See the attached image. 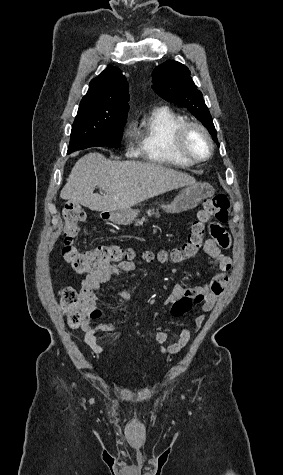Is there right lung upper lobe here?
Listing matches in <instances>:
<instances>
[{
	"instance_id": "obj_1",
	"label": "right lung upper lobe",
	"mask_w": 283,
	"mask_h": 475,
	"mask_svg": "<svg viewBox=\"0 0 283 475\" xmlns=\"http://www.w3.org/2000/svg\"><path fill=\"white\" fill-rule=\"evenodd\" d=\"M128 83L116 67L109 65L97 78L91 80L87 94L80 104L122 106L128 105Z\"/></svg>"
}]
</instances>
